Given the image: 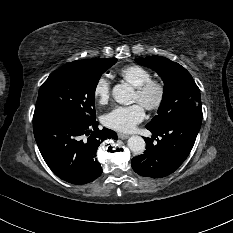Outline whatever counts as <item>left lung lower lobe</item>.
I'll use <instances>...</instances> for the list:
<instances>
[{
	"mask_svg": "<svg viewBox=\"0 0 233 233\" xmlns=\"http://www.w3.org/2000/svg\"><path fill=\"white\" fill-rule=\"evenodd\" d=\"M202 109L192 110L167 123L160 129L146 127L153 134L160 136L157 143L147 138L146 150L143 155L132 159L133 170L141 175L152 178L165 177L176 169L188 157L200 130Z\"/></svg>",
	"mask_w": 233,
	"mask_h": 233,
	"instance_id": "left-lung-lower-lobe-1",
	"label": "left lung lower lobe"
}]
</instances>
